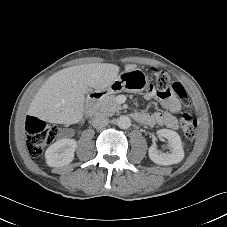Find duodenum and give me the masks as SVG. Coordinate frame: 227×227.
Wrapping results in <instances>:
<instances>
[{"label": "duodenum", "instance_id": "1", "mask_svg": "<svg viewBox=\"0 0 227 227\" xmlns=\"http://www.w3.org/2000/svg\"><path fill=\"white\" fill-rule=\"evenodd\" d=\"M106 94L105 90L95 91L92 94L89 95V97L86 100L85 104V111L88 115H93L96 111V106L98 101ZM132 117L137 122L142 121V114L139 112L132 113Z\"/></svg>", "mask_w": 227, "mask_h": 227}]
</instances>
